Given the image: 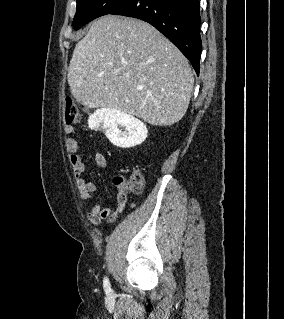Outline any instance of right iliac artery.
<instances>
[{
	"label": "right iliac artery",
	"instance_id": "1",
	"mask_svg": "<svg viewBox=\"0 0 284 319\" xmlns=\"http://www.w3.org/2000/svg\"><path fill=\"white\" fill-rule=\"evenodd\" d=\"M103 286H104V290H105L106 294H109L111 291V287H110V282H109L107 277H105L103 280Z\"/></svg>",
	"mask_w": 284,
	"mask_h": 319
}]
</instances>
